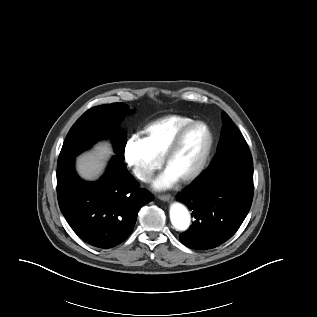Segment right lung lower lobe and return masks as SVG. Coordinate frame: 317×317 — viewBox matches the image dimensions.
<instances>
[{"instance_id":"right-lung-lower-lobe-1","label":"right lung lower lobe","mask_w":317,"mask_h":317,"mask_svg":"<svg viewBox=\"0 0 317 317\" xmlns=\"http://www.w3.org/2000/svg\"><path fill=\"white\" fill-rule=\"evenodd\" d=\"M59 207L68 224L86 243L101 249L115 247L131 234L139 209L154 200L114 156L97 182L80 179L74 161L57 168Z\"/></svg>"}]
</instances>
